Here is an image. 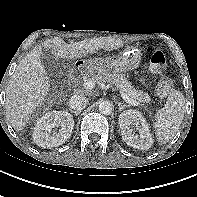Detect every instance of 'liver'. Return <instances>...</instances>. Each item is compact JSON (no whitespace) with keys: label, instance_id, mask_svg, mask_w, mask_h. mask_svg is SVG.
Segmentation results:
<instances>
[{"label":"liver","instance_id":"1","mask_svg":"<svg viewBox=\"0 0 197 197\" xmlns=\"http://www.w3.org/2000/svg\"><path fill=\"white\" fill-rule=\"evenodd\" d=\"M123 45L124 41L112 37L91 38L70 44L55 37L36 46L20 61L6 89L5 109L12 127L21 131L50 90L49 78L41 63L43 50L50 51L56 58L74 60L99 49L112 51Z\"/></svg>","mask_w":197,"mask_h":197}]
</instances>
